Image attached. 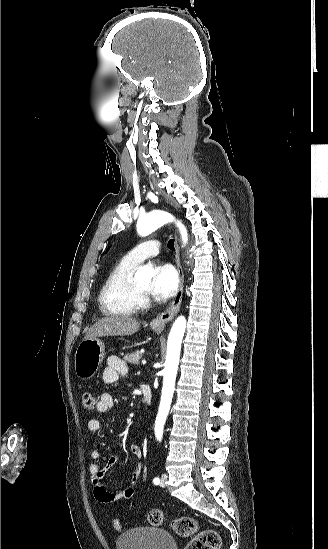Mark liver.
Masks as SVG:
<instances>
[{
	"instance_id": "6515ba94",
	"label": "liver",
	"mask_w": 328,
	"mask_h": 549,
	"mask_svg": "<svg viewBox=\"0 0 328 549\" xmlns=\"http://www.w3.org/2000/svg\"><path fill=\"white\" fill-rule=\"evenodd\" d=\"M140 323L132 317L123 315H110L99 319L95 325L88 329L84 339H97V337H129L139 331Z\"/></svg>"
}]
</instances>
